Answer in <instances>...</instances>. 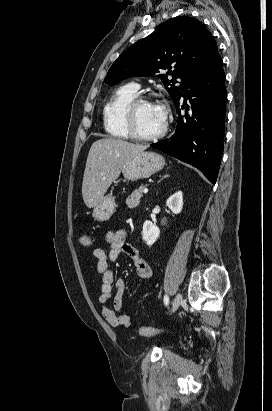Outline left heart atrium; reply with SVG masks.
I'll list each match as a JSON object with an SVG mask.
<instances>
[{"mask_svg":"<svg viewBox=\"0 0 272 411\" xmlns=\"http://www.w3.org/2000/svg\"><path fill=\"white\" fill-rule=\"evenodd\" d=\"M158 108H159V110L163 113V109H162L160 106H158Z\"/></svg>","mask_w":272,"mask_h":411,"instance_id":"left-heart-atrium-1","label":"left heart atrium"}]
</instances>
